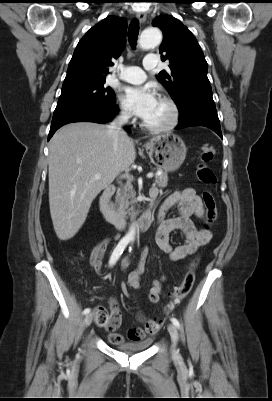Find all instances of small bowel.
Here are the masks:
<instances>
[{"label": "small bowel", "instance_id": "1", "mask_svg": "<svg viewBox=\"0 0 272 401\" xmlns=\"http://www.w3.org/2000/svg\"><path fill=\"white\" fill-rule=\"evenodd\" d=\"M157 195L156 188L151 189L150 195ZM176 209L177 215L172 218H165L167 212ZM192 216L198 218L204 217V208L201 198L196 194L193 188H184L176 190L170 194L158 212V228L155 235L157 246L166 254L171 261H179L187 258L195 253L199 248L204 246L212 237V232L207 229H197L191 220ZM174 231H180L185 236V242L176 247L170 243V234ZM109 239L105 238L94 245L90 252L89 260L91 266L97 271L102 270V260L108 246ZM148 256V249L141 248L139 251V263L135 270L127 276L126 282L121 285L122 292L125 296H129L127 286L133 289L141 287V275L145 270V264ZM130 264V259L122 262V269H126ZM165 277L153 279L148 289V300L155 304L158 303L162 292V283ZM109 308L112 314V321L106 329L109 332V339L114 343H121L124 337L115 332L121 324V311L116 299L109 300ZM160 329V323L152 321H144L143 327L130 328L126 338L129 341L137 342L145 339L146 336L155 334Z\"/></svg>", "mask_w": 272, "mask_h": 401}]
</instances>
